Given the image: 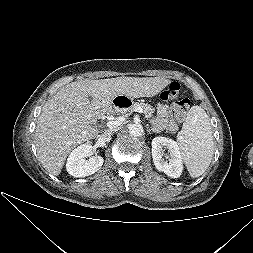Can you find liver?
I'll use <instances>...</instances> for the list:
<instances>
[{"label": "liver", "mask_w": 253, "mask_h": 253, "mask_svg": "<svg viewBox=\"0 0 253 253\" xmlns=\"http://www.w3.org/2000/svg\"><path fill=\"white\" fill-rule=\"evenodd\" d=\"M170 82L160 77H117L75 81L62 87L37 118L34 143L39 161L49 174L58 176L68 154L98 136L93 125L111 111L115 96L152 97Z\"/></svg>", "instance_id": "obj_1"}]
</instances>
